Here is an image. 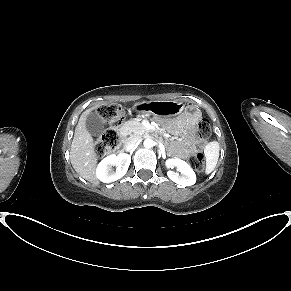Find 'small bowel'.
<instances>
[{
    "mask_svg": "<svg viewBox=\"0 0 291 291\" xmlns=\"http://www.w3.org/2000/svg\"><path fill=\"white\" fill-rule=\"evenodd\" d=\"M200 118L201 111L196 106H184L177 111V118L164 123L177 138L171 145V154L174 157L185 159L195 151L193 126Z\"/></svg>",
    "mask_w": 291,
    "mask_h": 291,
    "instance_id": "small-bowel-1",
    "label": "small bowel"
}]
</instances>
